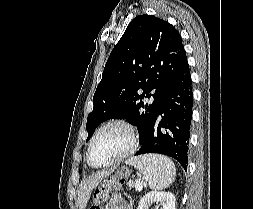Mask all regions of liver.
<instances>
[{
    "mask_svg": "<svg viewBox=\"0 0 253 209\" xmlns=\"http://www.w3.org/2000/svg\"><path fill=\"white\" fill-rule=\"evenodd\" d=\"M113 169L109 170H102L86 178L80 184L78 198H77V205L80 209H85L87 202L90 198L92 190L107 176L111 174Z\"/></svg>",
    "mask_w": 253,
    "mask_h": 209,
    "instance_id": "1",
    "label": "liver"
}]
</instances>
